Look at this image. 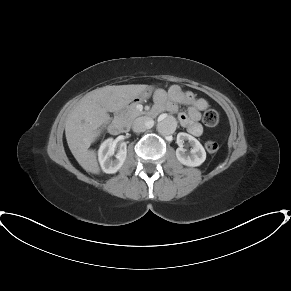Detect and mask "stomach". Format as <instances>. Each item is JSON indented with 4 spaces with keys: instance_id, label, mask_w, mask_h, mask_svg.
Wrapping results in <instances>:
<instances>
[{
    "instance_id": "0dacf381",
    "label": "stomach",
    "mask_w": 291,
    "mask_h": 291,
    "mask_svg": "<svg viewBox=\"0 0 291 291\" xmlns=\"http://www.w3.org/2000/svg\"><path fill=\"white\" fill-rule=\"evenodd\" d=\"M152 92V88H147L142 94H141V97L142 98H146L148 97Z\"/></svg>"
}]
</instances>
